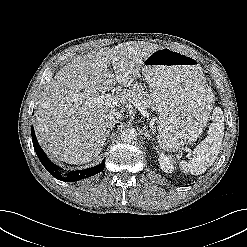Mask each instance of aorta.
Here are the masks:
<instances>
[{"label":"aorta","instance_id":"obj_1","mask_svg":"<svg viewBox=\"0 0 247 247\" xmlns=\"http://www.w3.org/2000/svg\"><path fill=\"white\" fill-rule=\"evenodd\" d=\"M137 138V132L135 129H126L121 134V140L125 143L134 142Z\"/></svg>","mask_w":247,"mask_h":247}]
</instances>
